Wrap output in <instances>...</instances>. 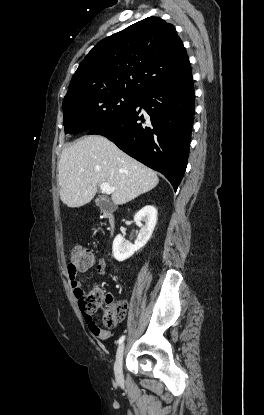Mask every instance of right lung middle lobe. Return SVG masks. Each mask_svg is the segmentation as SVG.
Instances as JSON below:
<instances>
[{"label": "right lung middle lobe", "mask_w": 264, "mask_h": 415, "mask_svg": "<svg viewBox=\"0 0 264 415\" xmlns=\"http://www.w3.org/2000/svg\"><path fill=\"white\" fill-rule=\"evenodd\" d=\"M139 95L107 92L72 97L63 101L65 134H77L105 124L137 103Z\"/></svg>", "instance_id": "dd1d6c3e"}]
</instances>
